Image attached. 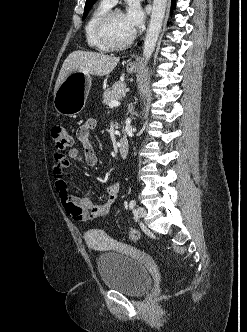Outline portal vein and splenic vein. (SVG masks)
Wrapping results in <instances>:
<instances>
[{
  "label": "portal vein and splenic vein",
  "mask_w": 247,
  "mask_h": 332,
  "mask_svg": "<svg viewBox=\"0 0 247 332\" xmlns=\"http://www.w3.org/2000/svg\"><path fill=\"white\" fill-rule=\"evenodd\" d=\"M108 105L110 108L118 107L120 105V102H118L117 100H114V101L110 102Z\"/></svg>",
  "instance_id": "18ae733b"
}]
</instances>
